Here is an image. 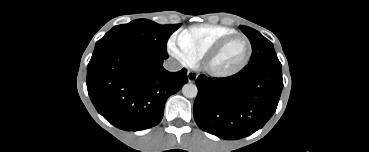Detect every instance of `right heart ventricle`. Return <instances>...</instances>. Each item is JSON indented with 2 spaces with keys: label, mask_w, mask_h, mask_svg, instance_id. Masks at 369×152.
Instances as JSON below:
<instances>
[{
  "label": "right heart ventricle",
  "mask_w": 369,
  "mask_h": 152,
  "mask_svg": "<svg viewBox=\"0 0 369 152\" xmlns=\"http://www.w3.org/2000/svg\"><path fill=\"white\" fill-rule=\"evenodd\" d=\"M234 33H237L236 30L229 27L201 24L182 30L177 39L192 56V64H195L217 41Z\"/></svg>",
  "instance_id": "obj_1"
}]
</instances>
